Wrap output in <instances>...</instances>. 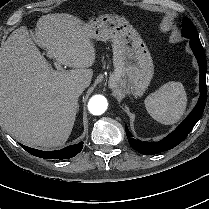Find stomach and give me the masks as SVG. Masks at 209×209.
Segmentation results:
<instances>
[{
  "mask_svg": "<svg viewBox=\"0 0 209 209\" xmlns=\"http://www.w3.org/2000/svg\"><path fill=\"white\" fill-rule=\"evenodd\" d=\"M86 24L91 40L112 41L114 72L109 87L143 95L153 77L154 64L140 34L118 15H100Z\"/></svg>",
  "mask_w": 209,
  "mask_h": 209,
  "instance_id": "0dacf381",
  "label": "stomach"
}]
</instances>
